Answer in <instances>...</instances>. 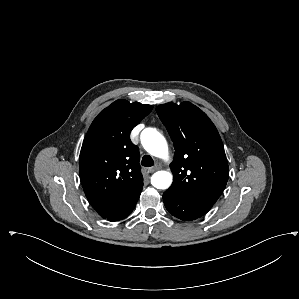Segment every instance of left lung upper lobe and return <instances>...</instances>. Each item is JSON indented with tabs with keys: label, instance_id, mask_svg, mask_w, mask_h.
<instances>
[{
	"label": "left lung upper lobe",
	"instance_id": "obj_1",
	"mask_svg": "<svg viewBox=\"0 0 299 299\" xmlns=\"http://www.w3.org/2000/svg\"><path fill=\"white\" fill-rule=\"evenodd\" d=\"M174 143L170 164L174 180L169 189L210 210L222 194L229 169L219 133L198 107L169 102L156 108Z\"/></svg>",
	"mask_w": 299,
	"mask_h": 299
}]
</instances>
